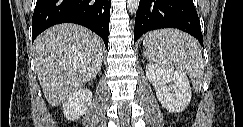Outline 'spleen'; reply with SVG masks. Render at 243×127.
I'll list each match as a JSON object with an SVG mask.
<instances>
[{"label": "spleen", "instance_id": "3e777b00", "mask_svg": "<svg viewBox=\"0 0 243 127\" xmlns=\"http://www.w3.org/2000/svg\"><path fill=\"white\" fill-rule=\"evenodd\" d=\"M149 61L158 67L187 73L196 91H200L204 63L196 40L174 29L149 33L143 41Z\"/></svg>", "mask_w": 243, "mask_h": 127}]
</instances>
